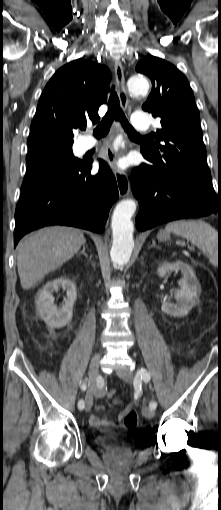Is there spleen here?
<instances>
[{
	"label": "spleen",
	"instance_id": "1",
	"mask_svg": "<svg viewBox=\"0 0 221 510\" xmlns=\"http://www.w3.org/2000/svg\"><path fill=\"white\" fill-rule=\"evenodd\" d=\"M165 231L186 238L193 245L206 251L211 262H217L218 233L210 224L202 220H178L168 223Z\"/></svg>",
	"mask_w": 221,
	"mask_h": 510
}]
</instances>
